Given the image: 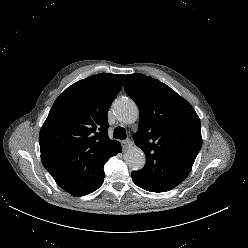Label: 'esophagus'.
I'll return each mask as SVG.
<instances>
[{
	"instance_id": "esophagus-1",
	"label": "esophagus",
	"mask_w": 248,
	"mask_h": 248,
	"mask_svg": "<svg viewBox=\"0 0 248 248\" xmlns=\"http://www.w3.org/2000/svg\"><path fill=\"white\" fill-rule=\"evenodd\" d=\"M121 144H122L123 150L129 149V148L133 145V143H132V141H131L130 139L123 140V141L121 142Z\"/></svg>"
}]
</instances>
